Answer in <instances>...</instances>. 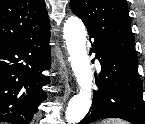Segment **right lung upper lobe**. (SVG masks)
<instances>
[{"instance_id": "obj_1", "label": "right lung upper lobe", "mask_w": 145, "mask_h": 124, "mask_svg": "<svg viewBox=\"0 0 145 124\" xmlns=\"http://www.w3.org/2000/svg\"><path fill=\"white\" fill-rule=\"evenodd\" d=\"M49 29L44 0H0V44L37 37Z\"/></svg>"}]
</instances>
